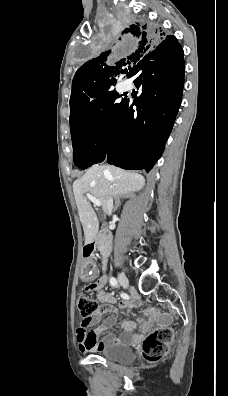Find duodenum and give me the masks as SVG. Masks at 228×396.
Instances as JSON below:
<instances>
[{"label": "duodenum", "mask_w": 228, "mask_h": 396, "mask_svg": "<svg viewBox=\"0 0 228 396\" xmlns=\"http://www.w3.org/2000/svg\"><path fill=\"white\" fill-rule=\"evenodd\" d=\"M111 235L108 231L102 230L94 238H91L84 246V251L91 255L95 250H99L103 257L109 253Z\"/></svg>", "instance_id": "obj_1"}]
</instances>
